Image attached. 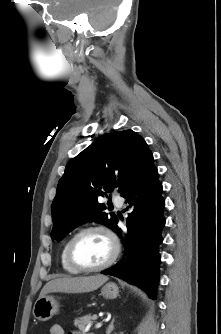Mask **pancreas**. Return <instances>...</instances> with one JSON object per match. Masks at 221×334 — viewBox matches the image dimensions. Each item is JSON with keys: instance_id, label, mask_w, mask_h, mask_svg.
Here are the masks:
<instances>
[{"instance_id": "obj_1", "label": "pancreas", "mask_w": 221, "mask_h": 334, "mask_svg": "<svg viewBox=\"0 0 221 334\" xmlns=\"http://www.w3.org/2000/svg\"><path fill=\"white\" fill-rule=\"evenodd\" d=\"M96 319L95 315H85L83 317L76 318L74 320V325L81 331L85 330L87 328L88 324H92L93 320ZM92 334V333H88Z\"/></svg>"}]
</instances>
